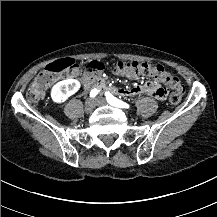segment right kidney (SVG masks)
I'll list each match as a JSON object with an SVG mask.
<instances>
[{"label":"right kidney","mask_w":217,"mask_h":217,"mask_svg":"<svg viewBox=\"0 0 217 217\" xmlns=\"http://www.w3.org/2000/svg\"><path fill=\"white\" fill-rule=\"evenodd\" d=\"M80 88V82L76 79H68L57 83L52 89V99L55 102H62L68 96L76 93Z\"/></svg>","instance_id":"1"}]
</instances>
